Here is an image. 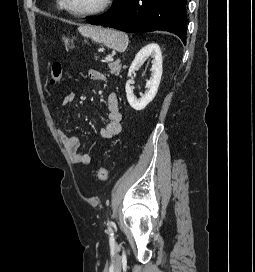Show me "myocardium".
I'll return each instance as SVG.
<instances>
[{
	"label": "myocardium",
	"instance_id": "f54148a6",
	"mask_svg": "<svg viewBox=\"0 0 255 272\" xmlns=\"http://www.w3.org/2000/svg\"><path fill=\"white\" fill-rule=\"evenodd\" d=\"M60 1H61L63 10L67 11L69 14L75 17L84 18V17L94 16V15L103 13L109 8L113 0H103L102 3L97 8L89 10V11H84V12H78V11L72 10L68 5L67 0H60Z\"/></svg>",
	"mask_w": 255,
	"mask_h": 272
}]
</instances>
